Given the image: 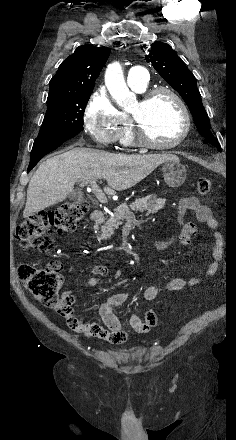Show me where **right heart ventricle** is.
Wrapping results in <instances>:
<instances>
[{"instance_id": "e07e8e85", "label": "right heart ventricle", "mask_w": 236, "mask_h": 440, "mask_svg": "<svg viewBox=\"0 0 236 440\" xmlns=\"http://www.w3.org/2000/svg\"><path fill=\"white\" fill-rule=\"evenodd\" d=\"M131 88L138 93H142L146 90V86L144 87L131 86ZM119 116L121 119V129H120L119 139L121 140V143H123L124 145H132L134 144L135 139L131 130L129 116L123 112H119Z\"/></svg>"}]
</instances>
